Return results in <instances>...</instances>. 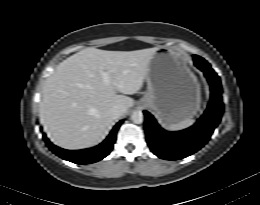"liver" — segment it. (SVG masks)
I'll use <instances>...</instances> for the list:
<instances>
[{"mask_svg":"<svg viewBox=\"0 0 260 205\" xmlns=\"http://www.w3.org/2000/svg\"><path fill=\"white\" fill-rule=\"evenodd\" d=\"M159 47L135 51L86 48L61 62L46 79L40 120L50 140L77 150L98 144L108 133L115 105H134L126 95L137 93L146 80L149 63ZM101 72H109L105 83Z\"/></svg>","mask_w":260,"mask_h":205,"instance_id":"1","label":"liver"}]
</instances>
